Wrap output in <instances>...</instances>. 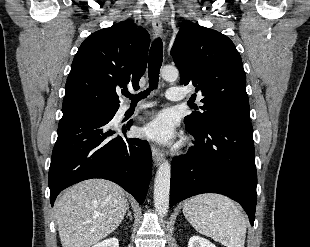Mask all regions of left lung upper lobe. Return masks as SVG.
Instances as JSON below:
<instances>
[{
    "instance_id": "left-lung-upper-lobe-1",
    "label": "left lung upper lobe",
    "mask_w": 310,
    "mask_h": 247,
    "mask_svg": "<svg viewBox=\"0 0 310 247\" xmlns=\"http://www.w3.org/2000/svg\"><path fill=\"white\" fill-rule=\"evenodd\" d=\"M171 55L180 83L194 85L204 103L201 112L184 118L185 124L202 132L220 121L250 122L242 59L227 36L187 21L176 36Z\"/></svg>"
}]
</instances>
